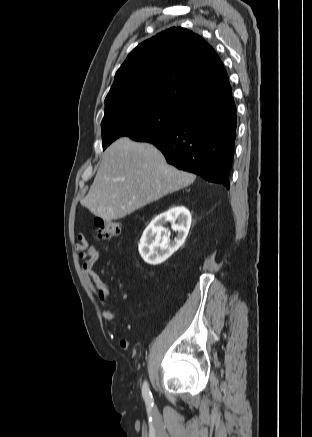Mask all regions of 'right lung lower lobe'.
I'll return each instance as SVG.
<instances>
[{"instance_id":"right-lung-lower-lobe-1","label":"right lung lower lobe","mask_w":312,"mask_h":437,"mask_svg":"<svg viewBox=\"0 0 312 437\" xmlns=\"http://www.w3.org/2000/svg\"><path fill=\"white\" fill-rule=\"evenodd\" d=\"M237 118L229 86L219 96L191 110L175 129L145 142L162 151L168 163L230 187Z\"/></svg>"}]
</instances>
